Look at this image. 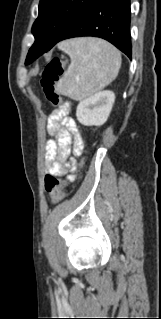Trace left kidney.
<instances>
[{
    "label": "left kidney",
    "mask_w": 161,
    "mask_h": 319,
    "mask_svg": "<svg viewBox=\"0 0 161 319\" xmlns=\"http://www.w3.org/2000/svg\"><path fill=\"white\" fill-rule=\"evenodd\" d=\"M115 94L106 90L82 100L76 110L77 120L85 126L103 125L112 110Z\"/></svg>",
    "instance_id": "obj_1"
}]
</instances>
